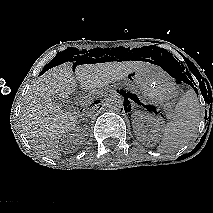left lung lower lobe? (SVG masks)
Returning a JSON list of instances; mask_svg holds the SVG:
<instances>
[{"instance_id":"0a47b994","label":"left lung lower lobe","mask_w":213,"mask_h":213,"mask_svg":"<svg viewBox=\"0 0 213 213\" xmlns=\"http://www.w3.org/2000/svg\"><path fill=\"white\" fill-rule=\"evenodd\" d=\"M119 93H120L122 96H124V103H125L126 99H128L127 97H129V95H127V93H126L124 90H121Z\"/></svg>"}]
</instances>
